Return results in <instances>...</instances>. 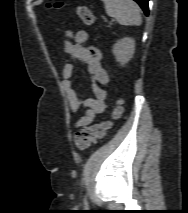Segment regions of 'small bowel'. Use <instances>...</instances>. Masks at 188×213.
<instances>
[{"instance_id":"small-bowel-1","label":"small bowel","mask_w":188,"mask_h":213,"mask_svg":"<svg viewBox=\"0 0 188 213\" xmlns=\"http://www.w3.org/2000/svg\"><path fill=\"white\" fill-rule=\"evenodd\" d=\"M87 43L88 33L86 31L67 33L65 52L73 62L85 64L93 79L92 92L94 97L83 98L73 85V62L66 63L62 68L63 89L68 98L71 112H76L80 107L85 108V114L74 122V128L91 124L95 116L102 114L106 109L107 91L105 86L109 82V75L101 63V50L96 46L87 45Z\"/></svg>"}]
</instances>
